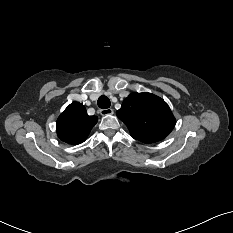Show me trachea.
<instances>
[{"label":"trachea","mask_w":233,"mask_h":233,"mask_svg":"<svg viewBox=\"0 0 233 233\" xmlns=\"http://www.w3.org/2000/svg\"><path fill=\"white\" fill-rule=\"evenodd\" d=\"M97 104L99 108L107 109L110 107L111 103H110V100L106 96H101L99 97Z\"/></svg>","instance_id":"1"}]
</instances>
